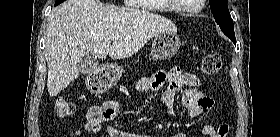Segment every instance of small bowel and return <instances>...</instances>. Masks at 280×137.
Returning <instances> with one entry per match:
<instances>
[{"label": "small bowel", "mask_w": 280, "mask_h": 137, "mask_svg": "<svg viewBox=\"0 0 280 137\" xmlns=\"http://www.w3.org/2000/svg\"><path fill=\"white\" fill-rule=\"evenodd\" d=\"M167 84L165 90L160 95L159 101L164 112L175 117L195 118L201 116L205 111L211 110L215 106V101L204 94L201 90V79L194 73L182 72L177 66L170 70L156 71L151 77L142 78L136 85L138 91L159 90ZM177 94H181L183 109H175L174 100ZM119 104L110 101L91 108L87 114V121L84 126L76 131L75 137H83L85 132H96L101 129L103 123L113 121L119 113ZM211 126H207V129ZM107 133L109 137H136L132 133H127L113 125H108ZM174 137H186L184 133H177Z\"/></svg>", "instance_id": "obj_1"}]
</instances>
